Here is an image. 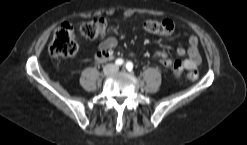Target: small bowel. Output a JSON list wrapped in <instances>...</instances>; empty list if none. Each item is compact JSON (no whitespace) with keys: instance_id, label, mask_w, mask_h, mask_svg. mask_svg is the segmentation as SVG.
Returning a JSON list of instances; mask_svg holds the SVG:
<instances>
[{"instance_id":"small-bowel-1","label":"small bowel","mask_w":247,"mask_h":145,"mask_svg":"<svg viewBox=\"0 0 247 145\" xmlns=\"http://www.w3.org/2000/svg\"><path fill=\"white\" fill-rule=\"evenodd\" d=\"M117 44L118 40L115 37H108L99 43L98 52L109 53V51L115 48ZM176 53L178 56L187 55V59H185L183 62L186 69H188L189 71L197 70L198 66L201 63V56L198 50V38L195 35L189 37L188 46L186 48L178 47ZM158 56L162 59L163 65L170 66L171 60L165 53L160 52L158 53Z\"/></svg>"}]
</instances>
